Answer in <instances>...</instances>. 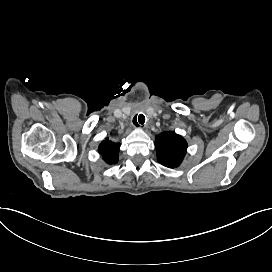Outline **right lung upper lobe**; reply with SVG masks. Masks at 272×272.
<instances>
[{
  "label": "right lung upper lobe",
  "mask_w": 272,
  "mask_h": 272,
  "mask_svg": "<svg viewBox=\"0 0 272 272\" xmlns=\"http://www.w3.org/2000/svg\"><path fill=\"white\" fill-rule=\"evenodd\" d=\"M119 143H114L106 138L99 145V153L107 164H116L118 162Z\"/></svg>",
  "instance_id": "1"
}]
</instances>
